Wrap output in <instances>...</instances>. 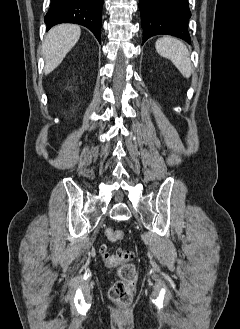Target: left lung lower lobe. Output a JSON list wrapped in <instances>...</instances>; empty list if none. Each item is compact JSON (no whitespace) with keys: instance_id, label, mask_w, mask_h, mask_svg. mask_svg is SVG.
<instances>
[{"instance_id":"left-lung-lower-lobe-1","label":"left lung lower lobe","mask_w":240,"mask_h":329,"mask_svg":"<svg viewBox=\"0 0 240 329\" xmlns=\"http://www.w3.org/2000/svg\"><path fill=\"white\" fill-rule=\"evenodd\" d=\"M143 43L157 34L178 37L190 43L188 0H140Z\"/></svg>"}]
</instances>
